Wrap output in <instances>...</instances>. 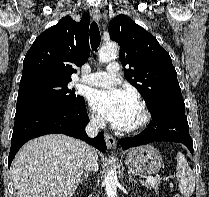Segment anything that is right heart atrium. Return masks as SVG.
Returning a JSON list of instances; mask_svg holds the SVG:
<instances>
[{"instance_id": "1", "label": "right heart atrium", "mask_w": 209, "mask_h": 197, "mask_svg": "<svg viewBox=\"0 0 209 197\" xmlns=\"http://www.w3.org/2000/svg\"><path fill=\"white\" fill-rule=\"evenodd\" d=\"M90 120H91V123L94 125V126H97V127H100L102 126L103 122H102V119L100 118V116L96 113H91L90 115Z\"/></svg>"}]
</instances>
